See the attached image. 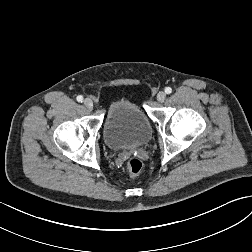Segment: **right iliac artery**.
I'll use <instances>...</instances> for the list:
<instances>
[{
  "label": "right iliac artery",
  "mask_w": 252,
  "mask_h": 252,
  "mask_svg": "<svg viewBox=\"0 0 252 252\" xmlns=\"http://www.w3.org/2000/svg\"><path fill=\"white\" fill-rule=\"evenodd\" d=\"M76 99H77L78 102H82L83 101V96L79 95V96H77Z\"/></svg>",
  "instance_id": "right-iliac-artery-1"
}]
</instances>
